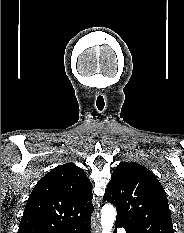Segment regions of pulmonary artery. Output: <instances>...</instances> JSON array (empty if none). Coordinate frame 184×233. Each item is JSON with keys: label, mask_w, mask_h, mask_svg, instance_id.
Masks as SVG:
<instances>
[{"label": "pulmonary artery", "mask_w": 184, "mask_h": 233, "mask_svg": "<svg viewBox=\"0 0 184 233\" xmlns=\"http://www.w3.org/2000/svg\"><path fill=\"white\" fill-rule=\"evenodd\" d=\"M118 233H126L124 229H119Z\"/></svg>", "instance_id": "1"}]
</instances>
